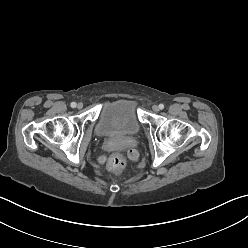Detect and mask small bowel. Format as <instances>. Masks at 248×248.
<instances>
[{"label":"small bowel","instance_id":"c3829d8e","mask_svg":"<svg viewBox=\"0 0 248 248\" xmlns=\"http://www.w3.org/2000/svg\"><path fill=\"white\" fill-rule=\"evenodd\" d=\"M134 153H135V152H134V150H131V151H130V154H132V155H133Z\"/></svg>","mask_w":248,"mask_h":248}]
</instances>
